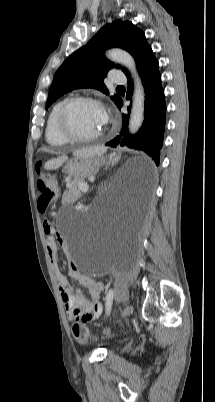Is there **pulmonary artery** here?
<instances>
[{
  "instance_id": "pulmonary-artery-1",
  "label": "pulmonary artery",
  "mask_w": 215,
  "mask_h": 402,
  "mask_svg": "<svg viewBox=\"0 0 215 402\" xmlns=\"http://www.w3.org/2000/svg\"><path fill=\"white\" fill-rule=\"evenodd\" d=\"M110 81L114 84H124L126 83V77L120 71H113L110 74Z\"/></svg>"
}]
</instances>
